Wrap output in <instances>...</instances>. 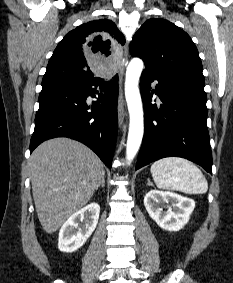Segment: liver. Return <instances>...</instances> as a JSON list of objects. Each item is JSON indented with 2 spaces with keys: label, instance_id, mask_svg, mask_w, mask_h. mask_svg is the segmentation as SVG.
<instances>
[{
  "label": "liver",
  "instance_id": "6515ba94",
  "mask_svg": "<svg viewBox=\"0 0 233 283\" xmlns=\"http://www.w3.org/2000/svg\"><path fill=\"white\" fill-rule=\"evenodd\" d=\"M29 166L37 216L49 234L89 202L105 173L92 150L64 137L40 144Z\"/></svg>",
  "mask_w": 233,
  "mask_h": 283
}]
</instances>
